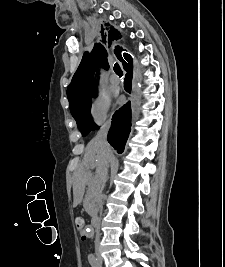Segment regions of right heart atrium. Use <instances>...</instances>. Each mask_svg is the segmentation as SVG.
Instances as JSON below:
<instances>
[{
    "label": "right heart atrium",
    "mask_w": 225,
    "mask_h": 267,
    "mask_svg": "<svg viewBox=\"0 0 225 267\" xmlns=\"http://www.w3.org/2000/svg\"><path fill=\"white\" fill-rule=\"evenodd\" d=\"M110 101L106 96L98 97L91 106V117L97 125L105 123L109 118Z\"/></svg>",
    "instance_id": "1"
}]
</instances>
